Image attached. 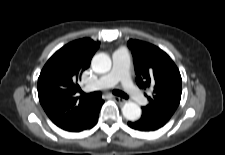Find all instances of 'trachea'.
I'll use <instances>...</instances> for the list:
<instances>
[{"label": "trachea", "mask_w": 225, "mask_h": 155, "mask_svg": "<svg viewBox=\"0 0 225 155\" xmlns=\"http://www.w3.org/2000/svg\"><path fill=\"white\" fill-rule=\"evenodd\" d=\"M85 97L87 98H92V99H96V98H100L102 96L101 92L100 91H96V92H93V93H90V94H85V93H82ZM113 94L117 95V96H120L122 98H125L127 99L128 98V95L125 94L124 92L122 91H119V90H114L113 91Z\"/></svg>", "instance_id": "3493384b"}]
</instances>
